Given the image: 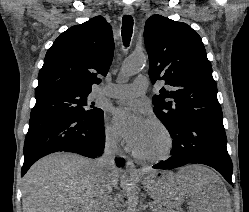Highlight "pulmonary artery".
<instances>
[{
    "instance_id": "pulmonary-artery-1",
    "label": "pulmonary artery",
    "mask_w": 249,
    "mask_h": 212,
    "mask_svg": "<svg viewBox=\"0 0 249 212\" xmlns=\"http://www.w3.org/2000/svg\"><path fill=\"white\" fill-rule=\"evenodd\" d=\"M147 88V77L139 75L130 84H110L103 88V93L112 98L131 99L145 94Z\"/></svg>"
}]
</instances>
